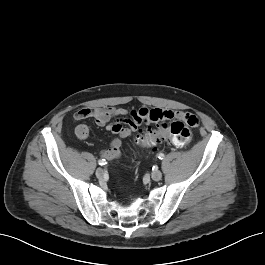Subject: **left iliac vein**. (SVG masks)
<instances>
[{"mask_svg":"<svg viewBox=\"0 0 265 265\" xmlns=\"http://www.w3.org/2000/svg\"><path fill=\"white\" fill-rule=\"evenodd\" d=\"M151 178L154 181H159L162 178V173L159 170H155L151 173Z\"/></svg>","mask_w":265,"mask_h":265,"instance_id":"obj_1","label":"left iliac vein"}]
</instances>
